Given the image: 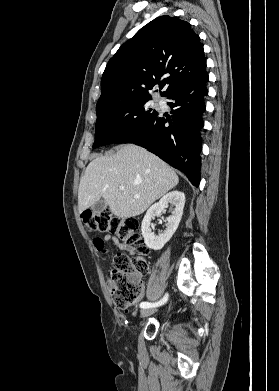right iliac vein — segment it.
<instances>
[{
	"label": "right iliac vein",
	"mask_w": 279,
	"mask_h": 391,
	"mask_svg": "<svg viewBox=\"0 0 279 391\" xmlns=\"http://www.w3.org/2000/svg\"><path fill=\"white\" fill-rule=\"evenodd\" d=\"M156 311H157L156 309L146 308V309L141 310L140 315H141V317L144 318V317H147V316L154 314Z\"/></svg>",
	"instance_id": "obj_1"
}]
</instances>
